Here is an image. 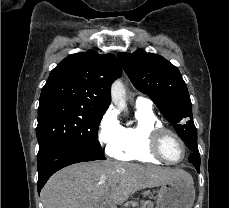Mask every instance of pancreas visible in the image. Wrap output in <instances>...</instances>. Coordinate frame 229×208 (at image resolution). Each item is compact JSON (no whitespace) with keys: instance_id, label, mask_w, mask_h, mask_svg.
<instances>
[{"instance_id":"cf45deb5","label":"pancreas","mask_w":229,"mask_h":208,"mask_svg":"<svg viewBox=\"0 0 229 208\" xmlns=\"http://www.w3.org/2000/svg\"><path fill=\"white\" fill-rule=\"evenodd\" d=\"M143 208H154L152 202H144Z\"/></svg>"}]
</instances>
